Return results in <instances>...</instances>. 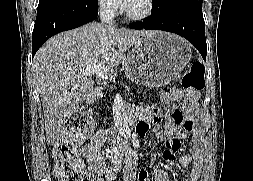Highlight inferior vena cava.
Wrapping results in <instances>:
<instances>
[{"label":"inferior vena cava","mask_w":253,"mask_h":181,"mask_svg":"<svg viewBox=\"0 0 253 181\" xmlns=\"http://www.w3.org/2000/svg\"><path fill=\"white\" fill-rule=\"evenodd\" d=\"M116 12V7L110 4L101 5L99 16L103 25L112 26L114 22V15Z\"/></svg>","instance_id":"602c4592"}]
</instances>
